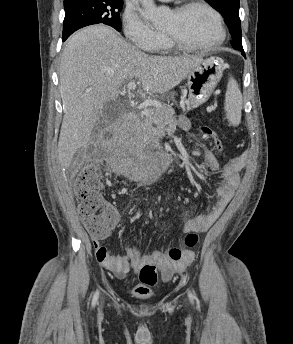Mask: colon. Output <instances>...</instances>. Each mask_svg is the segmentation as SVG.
Segmentation results:
<instances>
[{
    "instance_id": "5ec220e1",
    "label": "colon",
    "mask_w": 293,
    "mask_h": 344,
    "mask_svg": "<svg viewBox=\"0 0 293 344\" xmlns=\"http://www.w3.org/2000/svg\"><path fill=\"white\" fill-rule=\"evenodd\" d=\"M201 131L218 148L221 147V141L214 131L207 127L202 128ZM102 187L101 171L94 164H89L81 170L74 185L78 212L89 234L97 239L107 236L118 219L117 211L101 197ZM197 243L198 235L190 232L185 237L184 248L172 247L168 251V256L171 260L178 261L185 250L194 248ZM139 278L143 285L154 286L158 281L156 267L144 266L140 270Z\"/></svg>"
}]
</instances>
